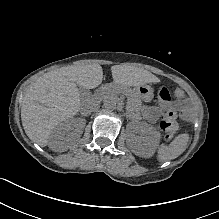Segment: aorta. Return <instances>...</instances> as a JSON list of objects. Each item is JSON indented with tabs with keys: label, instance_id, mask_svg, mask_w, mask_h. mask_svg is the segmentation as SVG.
<instances>
[{
	"label": "aorta",
	"instance_id": "aorta-1",
	"mask_svg": "<svg viewBox=\"0 0 219 219\" xmlns=\"http://www.w3.org/2000/svg\"><path fill=\"white\" fill-rule=\"evenodd\" d=\"M104 107L108 111H114L117 108V100L115 98H106L104 100Z\"/></svg>",
	"mask_w": 219,
	"mask_h": 219
}]
</instances>
